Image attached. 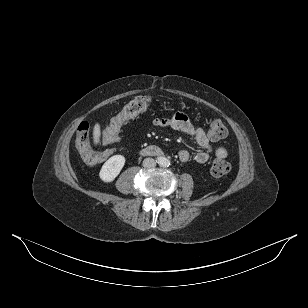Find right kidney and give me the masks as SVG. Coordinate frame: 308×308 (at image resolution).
I'll list each match as a JSON object with an SVG mask.
<instances>
[{"instance_id": "1", "label": "right kidney", "mask_w": 308, "mask_h": 308, "mask_svg": "<svg viewBox=\"0 0 308 308\" xmlns=\"http://www.w3.org/2000/svg\"><path fill=\"white\" fill-rule=\"evenodd\" d=\"M125 164V157L114 155L110 157L102 166L99 177L104 182H112L120 173Z\"/></svg>"}]
</instances>
